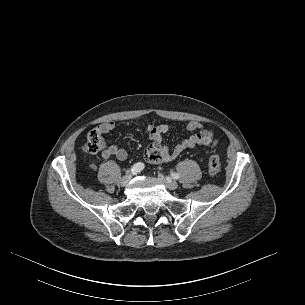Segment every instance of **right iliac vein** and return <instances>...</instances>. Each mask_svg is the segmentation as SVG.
I'll use <instances>...</instances> for the list:
<instances>
[{
  "label": "right iliac vein",
  "mask_w": 305,
  "mask_h": 305,
  "mask_svg": "<svg viewBox=\"0 0 305 305\" xmlns=\"http://www.w3.org/2000/svg\"><path fill=\"white\" fill-rule=\"evenodd\" d=\"M131 178H132L131 174H127V175L123 176L120 180V185L123 187L127 186L128 183L130 182Z\"/></svg>",
  "instance_id": "obj_1"
}]
</instances>
